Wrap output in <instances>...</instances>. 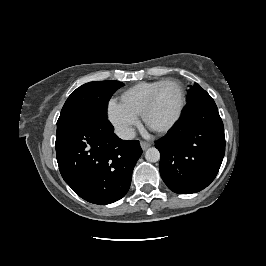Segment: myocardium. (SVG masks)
<instances>
[{
	"mask_svg": "<svg viewBox=\"0 0 266 266\" xmlns=\"http://www.w3.org/2000/svg\"><path fill=\"white\" fill-rule=\"evenodd\" d=\"M171 83L176 84L179 88V91H180V103H179L178 109H177L174 117L165 126H163L161 128H152L148 123L149 112L151 111L160 90L165 85L171 84ZM185 104H186V91H185L183 84L177 79H166L153 91L150 98L148 99V101H147V103L143 109V112L141 114L142 120L154 132L166 133L169 130H171L175 126V124L178 122V120L180 119L182 112L184 110Z\"/></svg>",
	"mask_w": 266,
	"mask_h": 266,
	"instance_id": "obj_1",
	"label": "myocardium"
}]
</instances>
